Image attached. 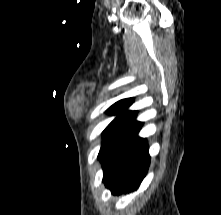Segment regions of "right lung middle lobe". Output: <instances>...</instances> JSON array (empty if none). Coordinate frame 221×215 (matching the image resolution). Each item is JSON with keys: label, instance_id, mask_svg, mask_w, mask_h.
<instances>
[{"label": "right lung middle lobe", "instance_id": "right-lung-middle-lobe-1", "mask_svg": "<svg viewBox=\"0 0 221 215\" xmlns=\"http://www.w3.org/2000/svg\"><path fill=\"white\" fill-rule=\"evenodd\" d=\"M108 113L117 115V117L107 126L103 131V142L98 155V158L103 154L106 146L113 138V136L129 121H131L137 114L136 111H129L127 107L113 105L108 110Z\"/></svg>", "mask_w": 221, "mask_h": 215}]
</instances>
